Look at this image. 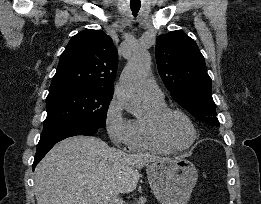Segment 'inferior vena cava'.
I'll return each mask as SVG.
<instances>
[{
	"label": "inferior vena cava",
	"instance_id": "1",
	"mask_svg": "<svg viewBox=\"0 0 261 204\" xmlns=\"http://www.w3.org/2000/svg\"><path fill=\"white\" fill-rule=\"evenodd\" d=\"M109 204H124V201L119 197V193H114L110 198Z\"/></svg>",
	"mask_w": 261,
	"mask_h": 204
}]
</instances>
